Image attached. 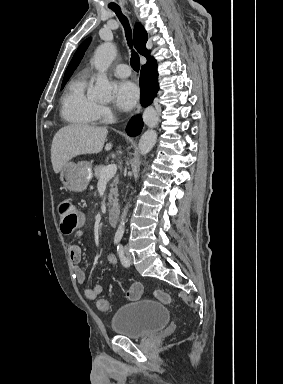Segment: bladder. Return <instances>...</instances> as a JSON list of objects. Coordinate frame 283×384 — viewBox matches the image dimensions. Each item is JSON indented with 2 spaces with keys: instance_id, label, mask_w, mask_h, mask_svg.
Returning <instances> with one entry per match:
<instances>
[{
  "instance_id": "1",
  "label": "bladder",
  "mask_w": 283,
  "mask_h": 384,
  "mask_svg": "<svg viewBox=\"0 0 283 384\" xmlns=\"http://www.w3.org/2000/svg\"><path fill=\"white\" fill-rule=\"evenodd\" d=\"M168 322L165 304L143 298L119 307L112 316L111 328L115 335L144 338L161 330Z\"/></svg>"
}]
</instances>
